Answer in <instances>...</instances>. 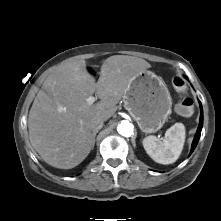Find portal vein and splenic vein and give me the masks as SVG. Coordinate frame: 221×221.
I'll use <instances>...</instances> for the list:
<instances>
[{
  "mask_svg": "<svg viewBox=\"0 0 221 221\" xmlns=\"http://www.w3.org/2000/svg\"><path fill=\"white\" fill-rule=\"evenodd\" d=\"M95 101H96V98L93 97V96H90V97L87 98V103L89 105L93 104Z\"/></svg>",
  "mask_w": 221,
  "mask_h": 221,
  "instance_id": "portal-vein-and-splenic-vein-1",
  "label": "portal vein and splenic vein"
}]
</instances>
